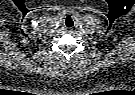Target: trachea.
<instances>
[{"instance_id": "1", "label": "trachea", "mask_w": 135, "mask_h": 95, "mask_svg": "<svg viewBox=\"0 0 135 95\" xmlns=\"http://www.w3.org/2000/svg\"><path fill=\"white\" fill-rule=\"evenodd\" d=\"M65 25H66V27H73L74 26V22H73L71 17H67L65 19Z\"/></svg>"}]
</instances>
